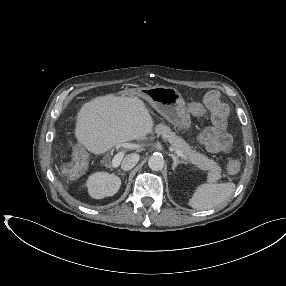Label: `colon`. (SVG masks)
<instances>
[{
    "label": "colon",
    "mask_w": 286,
    "mask_h": 286,
    "mask_svg": "<svg viewBox=\"0 0 286 286\" xmlns=\"http://www.w3.org/2000/svg\"><path fill=\"white\" fill-rule=\"evenodd\" d=\"M205 101L213 110H218V102L213 94H208L205 98ZM228 169L232 173L237 172L239 170V163L237 161H231L228 165Z\"/></svg>",
    "instance_id": "1"
}]
</instances>
